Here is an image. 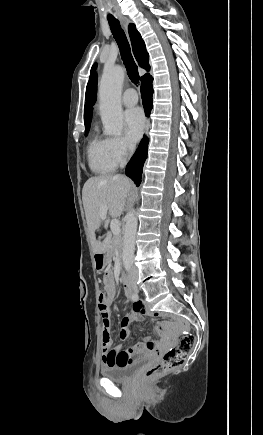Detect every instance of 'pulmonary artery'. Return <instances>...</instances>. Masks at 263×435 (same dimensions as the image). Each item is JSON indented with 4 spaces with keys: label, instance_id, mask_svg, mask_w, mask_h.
<instances>
[{
    "label": "pulmonary artery",
    "instance_id": "obj_1",
    "mask_svg": "<svg viewBox=\"0 0 263 435\" xmlns=\"http://www.w3.org/2000/svg\"><path fill=\"white\" fill-rule=\"evenodd\" d=\"M138 102V95L133 89H128L124 92L122 97V103L125 106L131 107L136 105Z\"/></svg>",
    "mask_w": 263,
    "mask_h": 435
}]
</instances>
